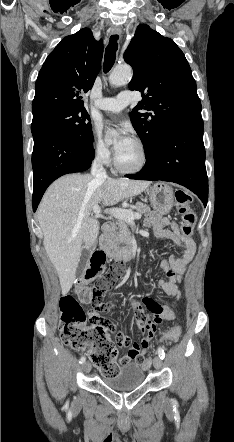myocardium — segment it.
<instances>
[{"label":"myocardium","instance_id":"1","mask_svg":"<svg viewBox=\"0 0 234 442\" xmlns=\"http://www.w3.org/2000/svg\"><path fill=\"white\" fill-rule=\"evenodd\" d=\"M133 142L137 145V147L140 151V155H141L140 162L135 167L125 168L119 163L117 156H115L114 166L120 173H123V174L138 173V172L142 171L148 163V151H147L145 144L140 139H133Z\"/></svg>","mask_w":234,"mask_h":442}]
</instances>
